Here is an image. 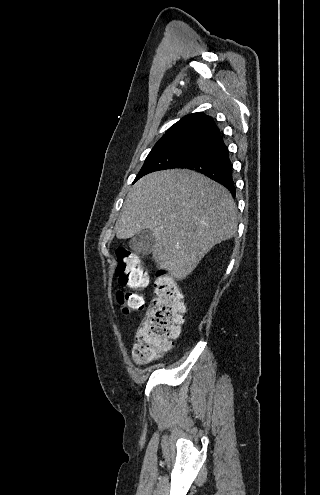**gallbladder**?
I'll return each instance as SVG.
<instances>
[{
  "mask_svg": "<svg viewBox=\"0 0 320 495\" xmlns=\"http://www.w3.org/2000/svg\"><path fill=\"white\" fill-rule=\"evenodd\" d=\"M155 243V236L150 229H144L138 232L131 240L130 247L133 250H139L144 255L151 252Z\"/></svg>",
  "mask_w": 320,
  "mask_h": 495,
  "instance_id": "1",
  "label": "gallbladder"
}]
</instances>
